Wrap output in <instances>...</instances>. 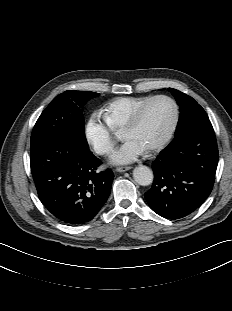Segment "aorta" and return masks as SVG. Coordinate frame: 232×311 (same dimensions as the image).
Instances as JSON below:
<instances>
[{
    "label": "aorta",
    "instance_id": "1",
    "mask_svg": "<svg viewBox=\"0 0 232 311\" xmlns=\"http://www.w3.org/2000/svg\"><path fill=\"white\" fill-rule=\"evenodd\" d=\"M133 178L141 186H148L153 182V172L147 166H138L133 170Z\"/></svg>",
    "mask_w": 232,
    "mask_h": 311
}]
</instances>
